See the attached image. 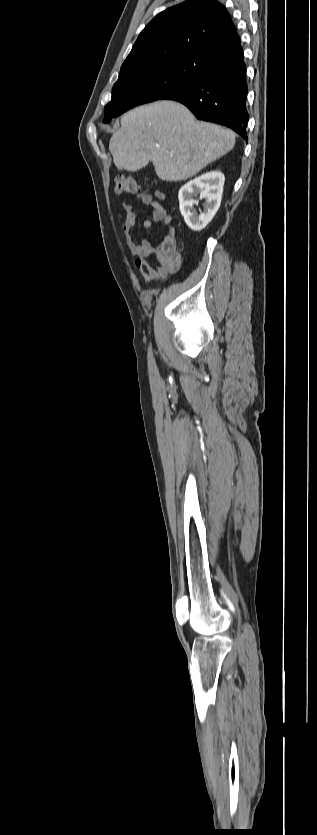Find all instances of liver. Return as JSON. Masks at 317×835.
I'll return each instance as SVG.
<instances>
[{
	"mask_svg": "<svg viewBox=\"0 0 317 835\" xmlns=\"http://www.w3.org/2000/svg\"><path fill=\"white\" fill-rule=\"evenodd\" d=\"M234 145L232 130L199 122L184 105L163 100L125 113L109 150L118 169L134 172L152 162L161 180L179 181L192 177Z\"/></svg>",
	"mask_w": 317,
	"mask_h": 835,
	"instance_id": "liver-1",
	"label": "liver"
}]
</instances>
